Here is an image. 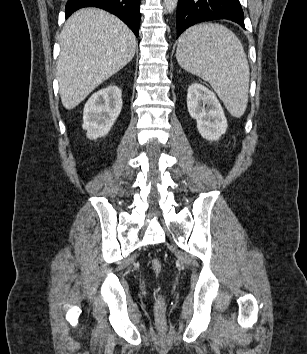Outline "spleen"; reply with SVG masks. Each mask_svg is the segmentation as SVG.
Listing matches in <instances>:
<instances>
[{
    "label": "spleen",
    "instance_id": "spleen-1",
    "mask_svg": "<svg viewBox=\"0 0 307 354\" xmlns=\"http://www.w3.org/2000/svg\"><path fill=\"white\" fill-rule=\"evenodd\" d=\"M176 58L183 69L212 86L233 117L244 114L250 71L244 48L232 31L214 23L192 26L178 39Z\"/></svg>",
    "mask_w": 307,
    "mask_h": 354
}]
</instances>
